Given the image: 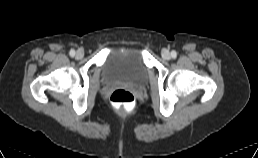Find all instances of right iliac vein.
Listing matches in <instances>:
<instances>
[{
    "label": "right iliac vein",
    "mask_w": 258,
    "mask_h": 158,
    "mask_svg": "<svg viewBox=\"0 0 258 158\" xmlns=\"http://www.w3.org/2000/svg\"><path fill=\"white\" fill-rule=\"evenodd\" d=\"M84 56V51L82 49L77 50L76 58L81 59Z\"/></svg>",
    "instance_id": "right-iliac-vein-1"
}]
</instances>
